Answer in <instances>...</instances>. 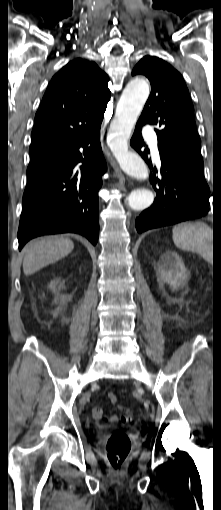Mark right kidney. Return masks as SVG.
Here are the masks:
<instances>
[{"label":"right kidney","instance_id":"ca27d5eb","mask_svg":"<svg viewBox=\"0 0 221 510\" xmlns=\"http://www.w3.org/2000/svg\"><path fill=\"white\" fill-rule=\"evenodd\" d=\"M49 288H50V289H52V290H54V289H55V282H51V283L49 284Z\"/></svg>","mask_w":221,"mask_h":510}]
</instances>
